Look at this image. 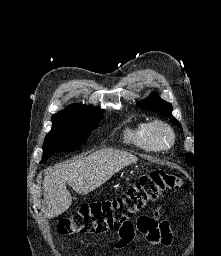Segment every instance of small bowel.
Wrapping results in <instances>:
<instances>
[{
    "label": "small bowel",
    "instance_id": "c3829d8e",
    "mask_svg": "<svg viewBox=\"0 0 221 256\" xmlns=\"http://www.w3.org/2000/svg\"><path fill=\"white\" fill-rule=\"evenodd\" d=\"M161 210L154 216H140L135 225L119 231V238L115 243L116 248H122L132 242L135 230L143 233L146 240L152 245L169 246L172 243V234L169 223L160 219Z\"/></svg>",
    "mask_w": 221,
    "mask_h": 256
}]
</instances>
